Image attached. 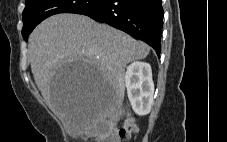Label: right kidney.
I'll return each mask as SVG.
<instances>
[{"instance_id":"ca27d5eb","label":"right kidney","mask_w":227,"mask_h":142,"mask_svg":"<svg viewBox=\"0 0 227 142\" xmlns=\"http://www.w3.org/2000/svg\"><path fill=\"white\" fill-rule=\"evenodd\" d=\"M125 83L134 112L141 116L147 115L154 94L151 66L146 62H133L127 67Z\"/></svg>"}]
</instances>
